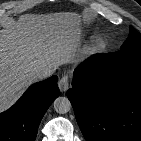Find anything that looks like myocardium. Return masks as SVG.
<instances>
[{
    "label": "myocardium",
    "mask_w": 141,
    "mask_h": 141,
    "mask_svg": "<svg viewBox=\"0 0 141 141\" xmlns=\"http://www.w3.org/2000/svg\"><path fill=\"white\" fill-rule=\"evenodd\" d=\"M107 41L103 36H96L90 43L89 52L97 53L105 49Z\"/></svg>",
    "instance_id": "myocardium-1"
}]
</instances>
